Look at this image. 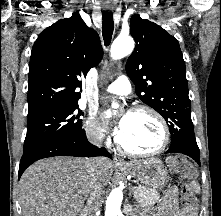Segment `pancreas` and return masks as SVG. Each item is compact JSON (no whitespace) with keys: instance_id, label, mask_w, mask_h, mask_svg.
<instances>
[{"instance_id":"pancreas-1","label":"pancreas","mask_w":221,"mask_h":216,"mask_svg":"<svg viewBox=\"0 0 221 216\" xmlns=\"http://www.w3.org/2000/svg\"><path fill=\"white\" fill-rule=\"evenodd\" d=\"M134 197L141 207H151L160 199V194L155 189L135 187Z\"/></svg>"}]
</instances>
